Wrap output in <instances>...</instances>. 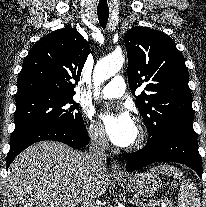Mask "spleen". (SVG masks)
Listing matches in <instances>:
<instances>
[{
	"mask_svg": "<svg viewBox=\"0 0 206 207\" xmlns=\"http://www.w3.org/2000/svg\"><path fill=\"white\" fill-rule=\"evenodd\" d=\"M153 173L172 176L181 180L180 192L178 194V207H200V196L196 185L183 177L182 171L174 166L162 165L151 169Z\"/></svg>",
	"mask_w": 206,
	"mask_h": 207,
	"instance_id": "3e777b00",
	"label": "spleen"
}]
</instances>
